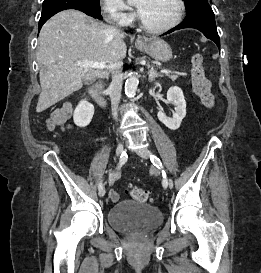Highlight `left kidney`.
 <instances>
[{"instance_id":"1","label":"left kidney","mask_w":261,"mask_h":273,"mask_svg":"<svg viewBox=\"0 0 261 273\" xmlns=\"http://www.w3.org/2000/svg\"><path fill=\"white\" fill-rule=\"evenodd\" d=\"M167 99L175 105L173 117H167L162 110L158 112L157 116L167 128L177 130L182 119L186 116V101L182 89L177 86L170 87L167 91Z\"/></svg>"}]
</instances>
